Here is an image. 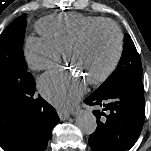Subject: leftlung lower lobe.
<instances>
[{
	"instance_id": "left-lung-lower-lobe-1",
	"label": "left lung lower lobe",
	"mask_w": 151,
	"mask_h": 151,
	"mask_svg": "<svg viewBox=\"0 0 151 151\" xmlns=\"http://www.w3.org/2000/svg\"><path fill=\"white\" fill-rule=\"evenodd\" d=\"M84 102L103 108L93 111L98 123L89 137L93 151H126L135 144L145 119L142 77H132L109 93H92Z\"/></svg>"
}]
</instances>
